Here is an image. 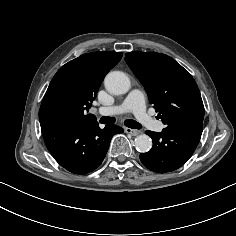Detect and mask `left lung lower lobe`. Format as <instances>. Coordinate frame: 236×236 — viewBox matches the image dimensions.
I'll return each mask as SVG.
<instances>
[{"instance_id": "left-lung-lower-lobe-1", "label": "left lung lower lobe", "mask_w": 236, "mask_h": 236, "mask_svg": "<svg viewBox=\"0 0 236 236\" xmlns=\"http://www.w3.org/2000/svg\"><path fill=\"white\" fill-rule=\"evenodd\" d=\"M202 130L203 125L182 124L166 127L161 133L146 131L153 140V147L140 154L141 162L158 173L180 168L196 149Z\"/></svg>"}]
</instances>
